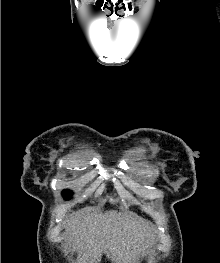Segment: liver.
<instances>
[{
  "label": "liver",
  "instance_id": "6515ba94",
  "mask_svg": "<svg viewBox=\"0 0 220 263\" xmlns=\"http://www.w3.org/2000/svg\"><path fill=\"white\" fill-rule=\"evenodd\" d=\"M65 235L81 263H99L103 253L112 263H138L142 248L153 239L147 222L116 210L73 213Z\"/></svg>",
  "mask_w": 220,
  "mask_h": 263
}]
</instances>
